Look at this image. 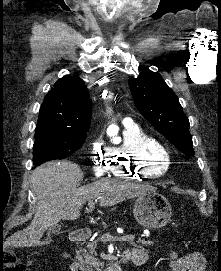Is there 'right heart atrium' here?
<instances>
[{
    "mask_svg": "<svg viewBox=\"0 0 221 271\" xmlns=\"http://www.w3.org/2000/svg\"><path fill=\"white\" fill-rule=\"evenodd\" d=\"M116 155L114 151H102V146H95V151H92V156L95 157H91L90 161L93 163L91 170H97L96 177H107V173H114L110 170V167L112 161H117Z\"/></svg>",
    "mask_w": 221,
    "mask_h": 271,
    "instance_id": "d8ad5b80",
    "label": "right heart atrium"
}]
</instances>
